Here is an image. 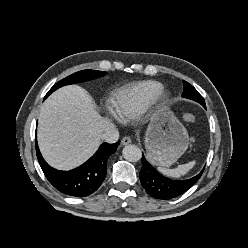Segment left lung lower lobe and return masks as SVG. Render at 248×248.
<instances>
[{
  "instance_id": "0a47b994",
  "label": "left lung lower lobe",
  "mask_w": 248,
  "mask_h": 248,
  "mask_svg": "<svg viewBox=\"0 0 248 248\" xmlns=\"http://www.w3.org/2000/svg\"><path fill=\"white\" fill-rule=\"evenodd\" d=\"M206 108V106H204ZM204 169L195 177L187 180H171L161 175L142 157L140 181L146 192L157 199H172L191 188L201 177Z\"/></svg>"
}]
</instances>
